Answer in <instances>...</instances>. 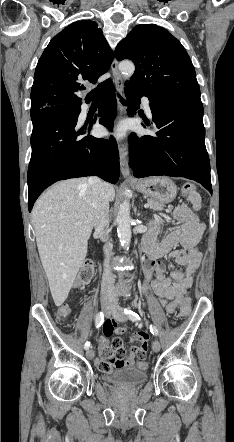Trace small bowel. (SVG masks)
<instances>
[{
	"instance_id": "small-bowel-1",
	"label": "small bowel",
	"mask_w": 234,
	"mask_h": 442,
	"mask_svg": "<svg viewBox=\"0 0 234 442\" xmlns=\"http://www.w3.org/2000/svg\"><path fill=\"white\" fill-rule=\"evenodd\" d=\"M200 207L199 196L189 198V203L177 205L167 220H176L179 225L170 231L159 245L156 243V237L161 227L159 219L149 222V231L144 238L149 245L146 252L148 260L144 264L143 290L146 296H150L148 285L151 283L153 292L165 305L168 313H173L183 305L186 291L192 285L193 274L200 265L201 253L198 245L205 228L196 215ZM179 245L181 248H178ZM163 257L175 260L184 267V270H173L170 265L172 271L170 275H166L165 265L160 261ZM103 327L105 337L100 339L102 352L111 349L112 346L116 350L121 349L123 341L120 336L126 332V326H117L115 319H104ZM112 335L115 336L110 343L108 337ZM129 341L131 343L140 342L139 348L133 346L129 349L125 359V366H134L136 355L140 360L148 357L146 350L148 334L139 332L131 336Z\"/></svg>"
}]
</instances>
